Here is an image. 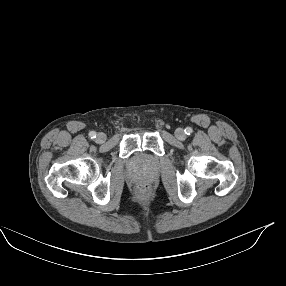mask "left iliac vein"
I'll use <instances>...</instances> for the list:
<instances>
[{
  "mask_svg": "<svg viewBox=\"0 0 286 286\" xmlns=\"http://www.w3.org/2000/svg\"><path fill=\"white\" fill-rule=\"evenodd\" d=\"M175 136L178 140H181V141L186 138L185 132L181 128H179L175 131Z\"/></svg>",
  "mask_w": 286,
  "mask_h": 286,
  "instance_id": "1",
  "label": "left iliac vein"
}]
</instances>
